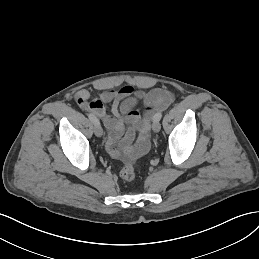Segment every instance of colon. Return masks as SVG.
I'll return each mask as SVG.
<instances>
[{"label":"colon","mask_w":259,"mask_h":259,"mask_svg":"<svg viewBox=\"0 0 259 259\" xmlns=\"http://www.w3.org/2000/svg\"><path fill=\"white\" fill-rule=\"evenodd\" d=\"M136 171L133 164H126L120 171V177L125 181H131L135 178Z\"/></svg>","instance_id":"obj_1"}]
</instances>
